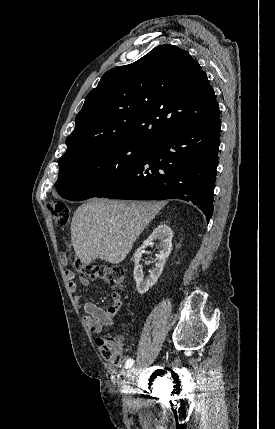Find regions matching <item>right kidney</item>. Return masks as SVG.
I'll use <instances>...</instances> for the list:
<instances>
[{
    "instance_id": "right-kidney-1",
    "label": "right kidney",
    "mask_w": 275,
    "mask_h": 429,
    "mask_svg": "<svg viewBox=\"0 0 275 429\" xmlns=\"http://www.w3.org/2000/svg\"><path fill=\"white\" fill-rule=\"evenodd\" d=\"M172 238L173 232L169 226L162 223L157 228H155L152 234L143 242L142 246L139 247L131 258L135 263L134 267V279L136 281V288L139 294H145L158 280L160 277L166 259L171 253L172 250ZM155 240H159V255L157 257V262L155 264V268L150 271V275L148 278L143 279V274L141 267L139 265V261L141 259L142 252L144 249L153 244Z\"/></svg>"
}]
</instances>
